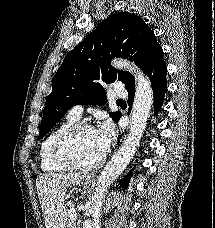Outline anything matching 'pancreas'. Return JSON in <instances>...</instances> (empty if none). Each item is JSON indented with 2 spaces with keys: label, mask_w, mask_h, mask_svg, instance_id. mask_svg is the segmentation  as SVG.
<instances>
[{
  "label": "pancreas",
  "mask_w": 215,
  "mask_h": 228,
  "mask_svg": "<svg viewBox=\"0 0 215 228\" xmlns=\"http://www.w3.org/2000/svg\"><path fill=\"white\" fill-rule=\"evenodd\" d=\"M71 210H69L67 228H77L75 220H73L72 216H70Z\"/></svg>",
  "instance_id": "pancreas-1"
}]
</instances>
